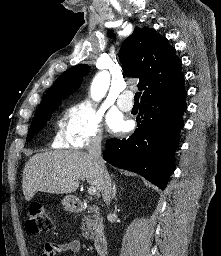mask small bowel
<instances>
[{"mask_svg":"<svg viewBox=\"0 0 221 256\" xmlns=\"http://www.w3.org/2000/svg\"><path fill=\"white\" fill-rule=\"evenodd\" d=\"M82 249V243L77 239H71L62 243L47 242L44 244L42 256H55L58 252L78 253Z\"/></svg>","mask_w":221,"mask_h":256,"instance_id":"obj_1","label":"small bowel"}]
</instances>
